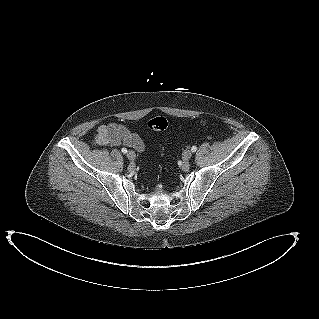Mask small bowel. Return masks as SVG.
I'll return each instance as SVG.
<instances>
[{
  "label": "small bowel",
  "instance_id": "c3829d8e",
  "mask_svg": "<svg viewBox=\"0 0 319 319\" xmlns=\"http://www.w3.org/2000/svg\"><path fill=\"white\" fill-rule=\"evenodd\" d=\"M96 144L100 146L125 145L137 151H143L145 144L139 134L129 131L126 127L119 124H103L99 127L96 136Z\"/></svg>",
  "mask_w": 319,
  "mask_h": 319
}]
</instances>
